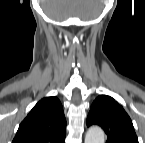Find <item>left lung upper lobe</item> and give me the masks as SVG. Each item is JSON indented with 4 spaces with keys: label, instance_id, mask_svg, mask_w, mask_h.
<instances>
[{
    "label": "left lung upper lobe",
    "instance_id": "left-lung-upper-lobe-1",
    "mask_svg": "<svg viewBox=\"0 0 145 143\" xmlns=\"http://www.w3.org/2000/svg\"><path fill=\"white\" fill-rule=\"evenodd\" d=\"M92 124L104 129L108 136L106 143H138L130 117L110 96L100 95L93 102L87 126Z\"/></svg>",
    "mask_w": 145,
    "mask_h": 143
}]
</instances>
